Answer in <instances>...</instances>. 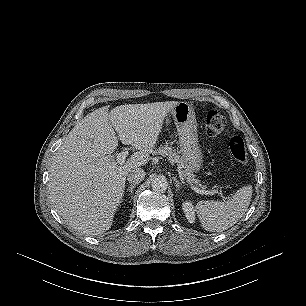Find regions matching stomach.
<instances>
[{
  "mask_svg": "<svg viewBox=\"0 0 306 306\" xmlns=\"http://www.w3.org/2000/svg\"><path fill=\"white\" fill-rule=\"evenodd\" d=\"M172 117L177 128L182 158L193 173L202 167V153L198 144L197 123L194 108L187 102H178L168 116L165 124L170 123Z\"/></svg>",
  "mask_w": 306,
  "mask_h": 306,
  "instance_id": "stomach-1",
  "label": "stomach"
}]
</instances>
